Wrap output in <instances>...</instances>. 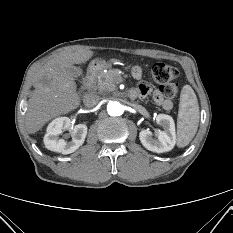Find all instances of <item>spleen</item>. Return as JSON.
I'll list each match as a JSON object with an SVG mask.
<instances>
[{"mask_svg":"<svg viewBox=\"0 0 233 233\" xmlns=\"http://www.w3.org/2000/svg\"><path fill=\"white\" fill-rule=\"evenodd\" d=\"M199 105L190 85L183 86L177 119V146L186 147L194 138L199 125Z\"/></svg>","mask_w":233,"mask_h":233,"instance_id":"3e777b00","label":"spleen"}]
</instances>
